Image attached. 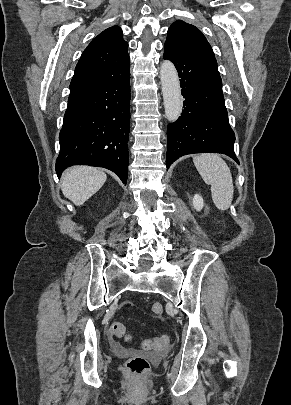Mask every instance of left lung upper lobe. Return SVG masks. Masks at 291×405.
<instances>
[{
  "mask_svg": "<svg viewBox=\"0 0 291 405\" xmlns=\"http://www.w3.org/2000/svg\"><path fill=\"white\" fill-rule=\"evenodd\" d=\"M166 42L193 52L214 56L213 50L202 32L182 20H178L170 26Z\"/></svg>",
  "mask_w": 291,
  "mask_h": 405,
  "instance_id": "5c2ea615",
  "label": "left lung upper lobe"
}]
</instances>
